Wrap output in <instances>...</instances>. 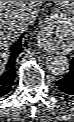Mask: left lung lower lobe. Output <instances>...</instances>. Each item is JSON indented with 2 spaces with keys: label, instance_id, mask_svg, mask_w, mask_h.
<instances>
[{
  "label": "left lung lower lobe",
  "instance_id": "1",
  "mask_svg": "<svg viewBox=\"0 0 74 122\" xmlns=\"http://www.w3.org/2000/svg\"><path fill=\"white\" fill-rule=\"evenodd\" d=\"M58 92L66 96H74V58L71 61L70 71L62 79L56 82Z\"/></svg>",
  "mask_w": 74,
  "mask_h": 122
}]
</instances>
